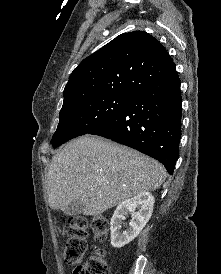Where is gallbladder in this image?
I'll use <instances>...</instances> for the list:
<instances>
[{
	"label": "gallbladder",
	"instance_id": "bac80fb5",
	"mask_svg": "<svg viewBox=\"0 0 221 274\" xmlns=\"http://www.w3.org/2000/svg\"><path fill=\"white\" fill-rule=\"evenodd\" d=\"M83 208L84 204L81 202L80 199H77L71 202L69 207L65 210V213L72 216L79 215L82 213Z\"/></svg>",
	"mask_w": 221,
	"mask_h": 274
}]
</instances>
